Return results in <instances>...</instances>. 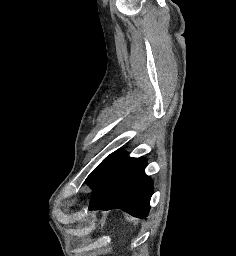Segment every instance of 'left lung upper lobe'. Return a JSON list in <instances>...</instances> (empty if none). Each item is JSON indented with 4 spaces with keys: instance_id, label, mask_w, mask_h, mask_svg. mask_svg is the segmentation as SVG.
Returning <instances> with one entry per match:
<instances>
[{
    "instance_id": "5c2ea615",
    "label": "left lung upper lobe",
    "mask_w": 236,
    "mask_h": 256,
    "mask_svg": "<svg viewBox=\"0 0 236 256\" xmlns=\"http://www.w3.org/2000/svg\"><path fill=\"white\" fill-rule=\"evenodd\" d=\"M123 154V150H117L108 155L87 177L86 184L94 191L109 176L118 160Z\"/></svg>"
}]
</instances>
